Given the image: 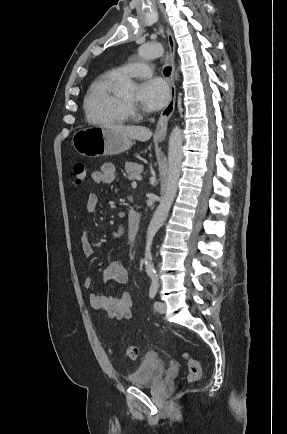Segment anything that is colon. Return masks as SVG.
<instances>
[{"instance_id":"5ec220e1","label":"colon","mask_w":287,"mask_h":434,"mask_svg":"<svg viewBox=\"0 0 287 434\" xmlns=\"http://www.w3.org/2000/svg\"><path fill=\"white\" fill-rule=\"evenodd\" d=\"M86 178V168L85 165L82 162H77L73 166V184L75 186H80ZM124 353L126 357H128L131 360H136L138 357V349L136 346H127L124 349ZM184 358L188 362V376L187 380L190 383L197 382L201 379L202 371L199 361L189 355L188 353L183 354Z\"/></svg>"}]
</instances>
